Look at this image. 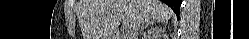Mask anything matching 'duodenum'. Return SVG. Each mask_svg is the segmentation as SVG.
I'll use <instances>...</instances> for the list:
<instances>
[{"instance_id": "1", "label": "duodenum", "mask_w": 249, "mask_h": 39, "mask_svg": "<svg viewBox=\"0 0 249 39\" xmlns=\"http://www.w3.org/2000/svg\"><path fill=\"white\" fill-rule=\"evenodd\" d=\"M114 39H122V37L120 35H116Z\"/></svg>"}]
</instances>
